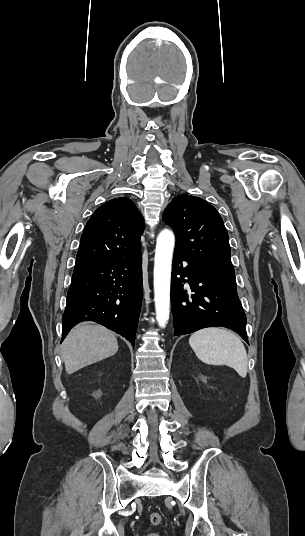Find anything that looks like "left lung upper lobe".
I'll return each instance as SVG.
<instances>
[{"mask_svg":"<svg viewBox=\"0 0 305 536\" xmlns=\"http://www.w3.org/2000/svg\"><path fill=\"white\" fill-rule=\"evenodd\" d=\"M163 221L175 233L174 253L208 268L234 272L223 220L204 199L187 194L175 197L165 209Z\"/></svg>","mask_w":305,"mask_h":536,"instance_id":"1","label":"left lung upper lobe"}]
</instances>
